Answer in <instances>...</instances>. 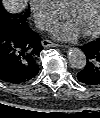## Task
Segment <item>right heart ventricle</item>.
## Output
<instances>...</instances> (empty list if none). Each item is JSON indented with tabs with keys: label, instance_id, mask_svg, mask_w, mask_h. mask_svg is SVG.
Returning a JSON list of instances; mask_svg holds the SVG:
<instances>
[{
	"label": "right heart ventricle",
	"instance_id": "right-heart-ventricle-1",
	"mask_svg": "<svg viewBox=\"0 0 100 118\" xmlns=\"http://www.w3.org/2000/svg\"><path fill=\"white\" fill-rule=\"evenodd\" d=\"M73 0H54L56 5L61 9L65 10L67 6L72 2Z\"/></svg>",
	"mask_w": 100,
	"mask_h": 118
}]
</instances>
